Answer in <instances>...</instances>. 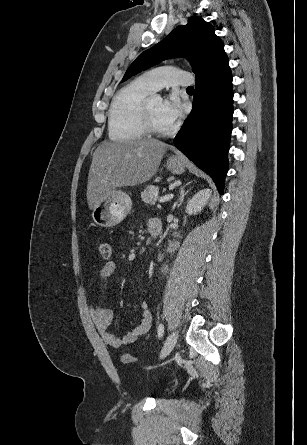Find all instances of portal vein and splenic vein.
Returning <instances> with one entry per match:
<instances>
[{"label":"portal vein and splenic vein","mask_w":307,"mask_h":445,"mask_svg":"<svg viewBox=\"0 0 307 445\" xmlns=\"http://www.w3.org/2000/svg\"><path fill=\"white\" fill-rule=\"evenodd\" d=\"M174 194H166V196H161L159 198V202H166V200H170V198H173Z\"/></svg>","instance_id":"portal-vein-and-splenic-vein-1"}]
</instances>
